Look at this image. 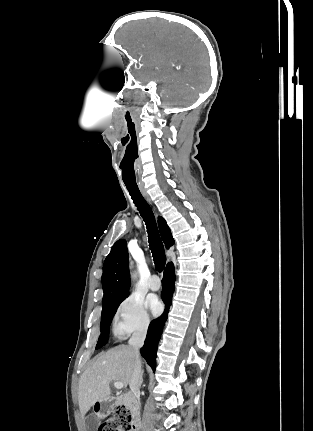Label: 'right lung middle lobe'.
Here are the masks:
<instances>
[{"label": "right lung middle lobe", "mask_w": 313, "mask_h": 431, "mask_svg": "<svg viewBox=\"0 0 313 431\" xmlns=\"http://www.w3.org/2000/svg\"><path fill=\"white\" fill-rule=\"evenodd\" d=\"M126 297L113 300L109 303L103 304L102 309V317H101V334L99 337V340L96 345V349L103 347L109 336V327L112 321V318L120 305V303L125 299Z\"/></svg>", "instance_id": "obj_1"}]
</instances>
